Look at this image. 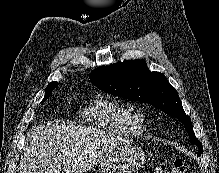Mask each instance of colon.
I'll return each mask as SVG.
<instances>
[{"mask_svg": "<svg viewBox=\"0 0 219 173\" xmlns=\"http://www.w3.org/2000/svg\"><path fill=\"white\" fill-rule=\"evenodd\" d=\"M158 173H187V166L180 158H173L162 163Z\"/></svg>", "mask_w": 219, "mask_h": 173, "instance_id": "5ec220e1", "label": "colon"}]
</instances>
